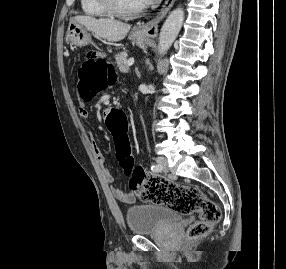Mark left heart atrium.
Segmentation results:
<instances>
[{"mask_svg":"<svg viewBox=\"0 0 286 269\" xmlns=\"http://www.w3.org/2000/svg\"><path fill=\"white\" fill-rule=\"evenodd\" d=\"M158 0H142L143 5H151Z\"/></svg>","mask_w":286,"mask_h":269,"instance_id":"39dd6f15","label":"left heart atrium"}]
</instances>
